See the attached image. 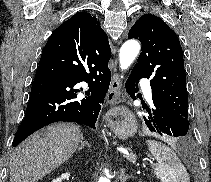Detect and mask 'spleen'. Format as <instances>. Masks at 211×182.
<instances>
[{
	"mask_svg": "<svg viewBox=\"0 0 211 182\" xmlns=\"http://www.w3.org/2000/svg\"><path fill=\"white\" fill-rule=\"evenodd\" d=\"M146 143L150 153L157 160L153 170L161 182H190L186 168L170 147L155 140H147Z\"/></svg>",
	"mask_w": 211,
	"mask_h": 182,
	"instance_id": "spleen-1",
	"label": "spleen"
}]
</instances>
